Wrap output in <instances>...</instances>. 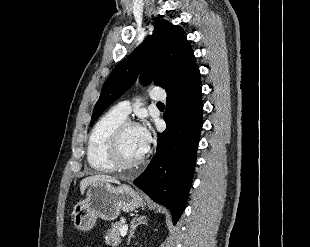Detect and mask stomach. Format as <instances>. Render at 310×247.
I'll return each instance as SVG.
<instances>
[{
  "label": "stomach",
  "mask_w": 310,
  "mask_h": 247,
  "mask_svg": "<svg viewBox=\"0 0 310 247\" xmlns=\"http://www.w3.org/2000/svg\"><path fill=\"white\" fill-rule=\"evenodd\" d=\"M143 198L128 185L114 187L106 182L89 185L86 196L73 206L71 218L75 229L88 231L98 218L115 220L121 211L143 207Z\"/></svg>",
  "instance_id": "obj_1"
}]
</instances>
